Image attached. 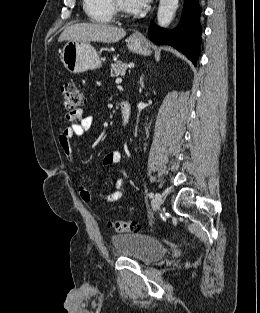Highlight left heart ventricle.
I'll return each mask as SVG.
<instances>
[{
  "label": "left heart ventricle",
  "instance_id": "b2bd125f",
  "mask_svg": "<svg viewBox=\"0 0 260 313\" xmlns=\"http://www.w3.org/2000/svg\"><path fill=\"white\" fill-rule=\"evenodd\" d=\"M118 3L124 10L128 11V9H127V7H126V5L124 3V0H118Z\"/></svg>",
  "mask_w": 260,
  "mask_h": 313
}]
</instances>
